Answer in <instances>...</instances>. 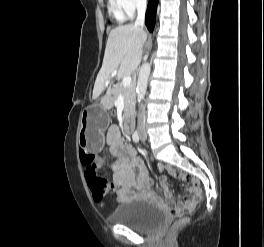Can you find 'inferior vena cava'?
Returning a JSON list of instances; mask_svg holds the SVG:
<instances>
[{"label": "inferior vena cava", "instance_id": "inferior-vena-cava-1", "mask_svg": "<svg viewBox=\"0 0 264 247\" xmlns=\"http://www.w3.org/2000/svg\"><path fill=\"white\" fill-rule=\"evenodd\" d=\"M137 19L135 21V25L143 28L145 21V12H146V0H138L137 1ZM145 122V107L143 105L140 106L138 112V125H143Z\"/></svg>", "mask_w": 264, "mask_h": 247}]
</instances>
